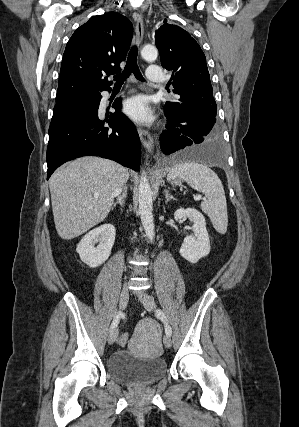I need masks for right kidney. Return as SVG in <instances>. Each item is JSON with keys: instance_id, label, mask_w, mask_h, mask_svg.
<instances>
[{"instance_id": "ca27d5eb", "label": "right kidney", "mask_w": 299, "mask_h": 427, "mask_svg": "<svg viewBox=\"0 0 299 427\" xmlns=\"http://www.w3.org/2000/svg\"><path fill=\"white\" fill-rule=\"evenodd\" d=\"M116 230L112 224H103L87 233L77 246L81 261L91 268L103 264L110 256ZM99 244L95 246L96 243Z\"/></svg>"}]
</instances>
